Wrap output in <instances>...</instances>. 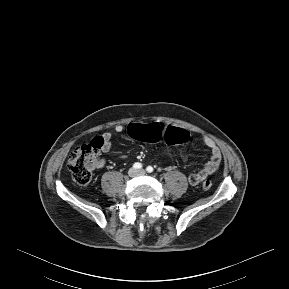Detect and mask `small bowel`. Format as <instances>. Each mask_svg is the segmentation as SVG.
<instances>
[{
	"instance_id": "c3829d8e",
	"label": "small bowel",
	"mask_w": 289,
	"mask_h": 289,
	"mask_svg": "<svg viewBox=\"0 0 289 289\" xmlns=\"http://www.w3.org/2000/svg\"><path fill=\"white\" fill-rule=\"evenodd\" d=\"M124 129L125 127L122 124H118L115 126L116 132H122L124 131ZM101 137L103 139V146L101 151L108 152L111 148L112 135L110 132H106ZM202 141L209 148L211 154L210 158L208 159V161L205 163L204 167L201 170H199L198 172L191 173L189 175V183L193 186L198 185L208 176L213 174L218 169L221 162V152L216 143L209 137H203ZM124 157L125 156H122V158Z\"/></svg>"
}]
</instances>
